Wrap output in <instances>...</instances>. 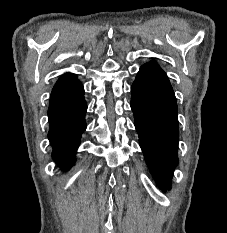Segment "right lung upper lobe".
Instances as JSON below:
<instances>
[{"mask_svg":"<svg viewBox=\"0 0 227 233\" xmlns=\"http://www.w3.org/2000/svg\"><path fill=\"white\" fill-rule=\"evenodd\" d=\"M76 81H77V78L72 73H66V74L62 75L59 78V80L57 81V83L55 84L51 95H53V94L57 93L58 91L68 87L69 85L73 84Z\"/></svg>","mask_w":227,"mask_h":233,"instance_id":"right-lung-upper-lobe-1","label":"right lung upper lobe"}]
</instances>
